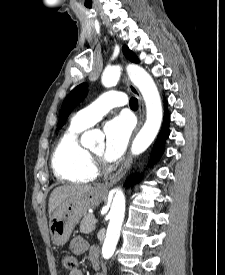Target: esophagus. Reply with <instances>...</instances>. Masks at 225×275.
Here are the masks:
<instances>
[{"label": "esophagus", "mask_w": 225, "mask_h": 275, "mask_svg": "<svg viewBox=\"0 0 225 275\" xmlns=\"http://www.w3.org/2000/svg\"><path fill=\"white\" fill-rule=\"evenodd\" d=\"M125 82L127 84V87L129 88V90L137 97L138 102H139L138 124H137V127H136L135 131H134V134H133V136H134L139 131V129L142 126L143 121H144V114H145L144 103H143V99H142V96H141L140 92L127 79V77H125ZM131 164H132V156L128 155L127 159L125 160V162L123 163L121 168L115 174L110 176L104 183L99 185L98 188L108 189L110 186L114 185L118 180H120L125 175V173L130 168Z\"/></svg>", "instance_id": "34e87169"}]
</instances>
